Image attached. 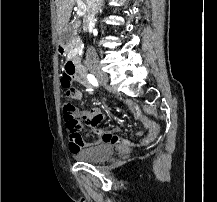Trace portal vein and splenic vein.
Instances as JSON below:
<instances>
[{
  "label": "portal vein and splenic vein",
  "mask_w": 217,
  "mask_h": 202,
  "mask_svg": "<svg viewBox=\"0 0 217 202\" xmlns=\"http://www.w3.org/2000/svg\"><path fill=\"white\" fill-rule=\"evenodd\" d=\"M78 4H80L81 0H77Z\"/></svg>",
  "instance_id": "obj_1"
}]
</instances>
